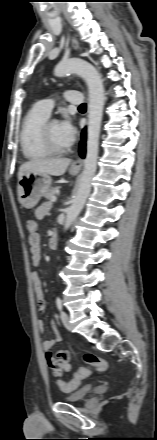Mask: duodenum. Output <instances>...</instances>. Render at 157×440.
<instances>
[{
    "mask_svg": "<svg viewBox=\"0 0 157 440\" xmlns=\"http://www.w3.org/2000/svg\"><path fill=\"white\" fill-rule=\"evenodd\" d=\"M58 244V237L56 233H53L52 236L49 238V247L54 248Z\"/></svg>",
    "mask_w": 157,
    "mask_h": 440,
    "instance_id": "1",
    "label": "duodenum"
}]
</instances>
